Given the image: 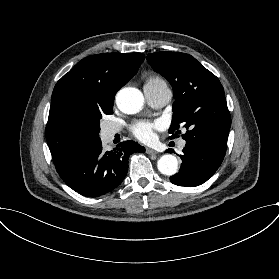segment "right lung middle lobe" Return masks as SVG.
Wrapping results in <instances>:
<instances>
[{"label":"right lung middle lobe","instance_id":"right-lung-middle-lobe-1","mask_svg":"<svg viewBox=\"0 0 279 279\" xmlns=\"http://www.w3.org/2000/svg\"><path fill=\"white\" fill-rule=\"evenodd\" d=\"M113 113V101L104 103L102 105H93L88 109V119L90 122L91 128L99 133L100 130V119L103 114H112Z\"/></svg>","mask_w":279,"mask_h":279}]
</instances>
